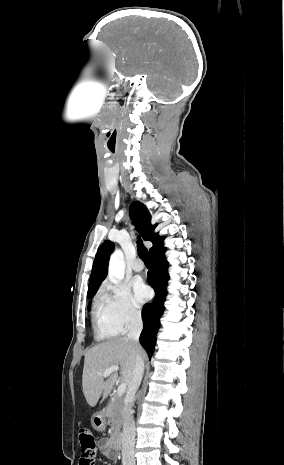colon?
<instances>
[{
	"mask_svg": "<svg viewBox=\"0 0 284 465\" xmlns=\"http://www.w3.org/2000/svg\"><path fill=\"white\" fill-rule=\"evenodd\" d=\"M79 441L81 446L80 465H94L93 456L96 443L91 430L82 428L79 431Z\"/></svg>",
	"mask_w": 284,
	"mask_h": 465,
	"instance_id": "colon-1",
	"label": "colon"
}]
</instances>
